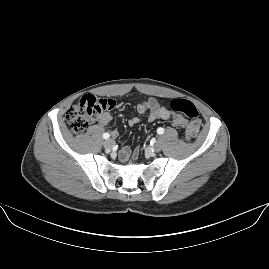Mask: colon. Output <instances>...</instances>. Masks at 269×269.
I'll list each match as a JSON object with an SVG mask.
<instances>
[{
  "mask_svg": "<svg viewBox=\"0 0 269 269\" xmlns=\"http://www.w3.org/2000/svg\"><path fill=\"white\" fill-rule=\"evenodd\" d=\"M115 105L112 97L106 99L96 98L92 94H86L80 98L67 112V121L75 133H83L101 114L108 115ZM169 108L176 113L184 114L190 123L198 118L196 106L184 98H174L169 103ZM186 142L193 141V136L186 133Z\"/></svg>",
  "mask_w": 269,
  "mask_h": 269,
  "instance_id": "1",
  "label": "colon"
}]
</instances>
